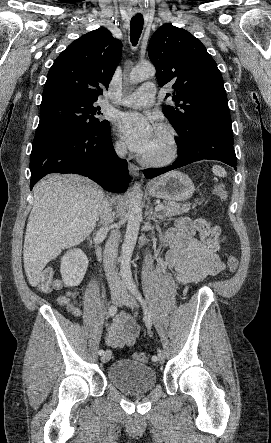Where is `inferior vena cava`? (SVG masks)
<instances>
[{"label":"inferior vena cava","mask_w":271,"mask_h":443,"mask_svg":"<svg viewBox=\"0 0 271 443\" xmlns=\"http://www.w3.org/2000/svg\"><path fill=\"white\" fill-rule=\"evenodd\" d=\"M116 154L120 156V158H124L125 154H127V146L124 142H117L115 144ZM100 222L103 223V227H101L100 231H107L109 223L113 222V214L110 208V202L106 200L102 204V208L100 210ZM120 239V231L119 229H114L113 235H110L109 239L106 241L105 251L103 255V265L106 271V277L108 279V285L111 287L112 296H125V290L121 286V279L115 271V257L118 251V243Z\"/></svg>","instance_id":"obj_1"}]
</instances>
